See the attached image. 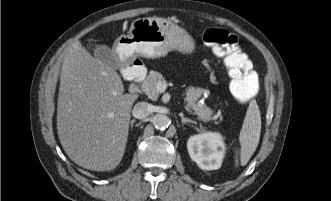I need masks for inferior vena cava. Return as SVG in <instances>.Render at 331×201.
<instances>
[{
	"mask_svg": "<svg viewBox=\"0 0 331 201\" xmlns=\"http://www.w3.org/2000/svg\"><path fill=\"white\" fill-rule=\"evenodd\" d=\"M151 113V105L147 102H138L135 104L132 114L137 119H143Z\"/></svg>",
	"mask_w": 331,
	"mask_h": 201,
	"instance_id": "obj_1",
	"label": "inferior vena cava"
}]
</instances>
